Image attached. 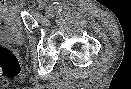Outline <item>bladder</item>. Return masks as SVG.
I'll return each instance as SVG.
<instances>
[{
	"label": "bladder",
	"instance_id": "obj_1",
	"mask_svg": "<svg viewBox=\"0 0 131 89\" xmlns=\"http://www.w3.org/2000/svg\"><path fill=\"white\" fill-rule=\"evenodd\" d=\"M25 38L26 30L20 13L0 9V43L21 44Z\"/></svg>",
	"mask_w": 131,
	"mask_h": 89
}]
</instances>
